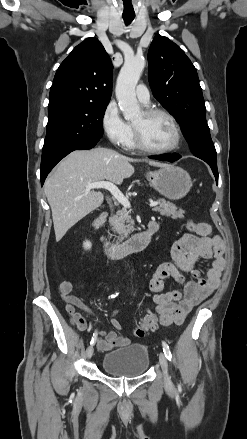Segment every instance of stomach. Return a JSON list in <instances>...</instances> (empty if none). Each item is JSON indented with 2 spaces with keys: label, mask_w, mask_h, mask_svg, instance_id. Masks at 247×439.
I'll use <instances>...</instances> for the list:
<instances>
[{
  "label": "stomach",
  "mask_w": 247,
  "mask_h": 439,
  "mask_svg": "<svg viewBox=\"0 0 247 439\" xmlns=\"http://www.w3.org/2000/svg\"><path fill=\"white\" fill-rule=\"evenodd\" d=\"M146 178L156 191L170 200L183 198L192 187L190 175L174 165H165L158 170L148 171Z\"/></svg>",
  "instance_id": "0dacf381"
}]
</instances>
